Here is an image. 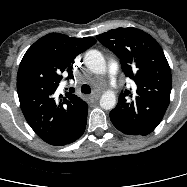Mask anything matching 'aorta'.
<instances>
[{
	"label": "aorta",
	"mask_w": 187,
	"mask_h": 187,
	"mask_svg": "<svg viewBox=\"0 0 187 187\" xmlns=\"http://www.w3.org/2000/svg\"><path fill=\"white\" fill-rule=\"evenodd\" d=\"M86 67L95 74L106 72V62L98 50H89L84 57ZM116 105V95L112 90H108L100 98V106L104 110H111Z\"/></svg>",
	"instance_id": "obj_1"
}]
</instances>
